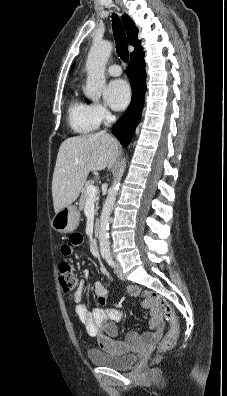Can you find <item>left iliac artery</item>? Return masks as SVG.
<instances>
[{"mask_svg": "<svg viewBox=\"0 0 227 396\" xmlns=\"http://www.w3.org/2000/svg\"><path fill=\"white\" fill-rule=\"evenodd\" d=\"M105 258H106L107 263H108L110 266L115 267V263H114V261L112 260V257H111L110 254H106Z\"/></svg>", "mask_w": 227, "mask_h": 396, "instance_id": "left-iliac-artery-1", "label": "left iliac artery"}]
</instances>
